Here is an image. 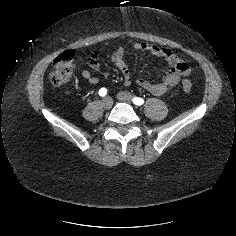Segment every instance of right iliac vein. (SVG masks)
<instances>
[{
  "instance_id": "1",
  "label": "right iliac vein",
  "mask_w": 236,
  "mask_h": 236,
  "mask_svg": "<svg viewBox=\"0 0 236 236\" xmlns=\"http://www.w3.org/2000/svg\"><path fill=\"white\" fill-rule=\"evenodd\" d=\"M113 105V100L111 97L107 96L105 98H103L102 100V106L105 108V109H110Z\"/></svg>"
}]
</instances>
